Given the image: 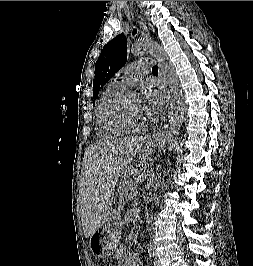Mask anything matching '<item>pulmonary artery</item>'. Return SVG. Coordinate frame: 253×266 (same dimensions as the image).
<instances>
[{
  "mask_svg": "<svg viewBox=\"0 0 253 266\" xmlns=\"http://www.w3.org/2000/svg\"><path fill=\"white\" fill-rule=\"evenodd\" d=\"M148 72V63L142 60L134 61L120 70L116 79L122 85L129 87L134 85Z\"/></svg>",
  "mask_w": 253,
  "mask_h": 266,
  "instance_id": "obj_1",
  "label": "pulmonary artery"
}]
</instances>
